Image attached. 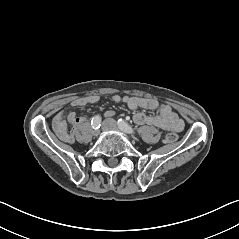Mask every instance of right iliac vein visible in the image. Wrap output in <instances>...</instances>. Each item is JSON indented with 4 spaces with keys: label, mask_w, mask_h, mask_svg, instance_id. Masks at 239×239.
Returning <instances> with one entry per match:
<instances>
[{
    "label": "right iliac vein",
    "mask_w": 239,
    "mask_h": 239,
    "mask_svg": "<svg viewBox=\"0 0 239 239\" xmlns=\"http://www.w3.org/2000/svg\"><path fill=\"white\" fill-rule=\"evenodd\" d=\"M101 129H102L103 132H105V131H107V130L110 129V126H109L108 123L103 122V124H102V128H101ZM95 134H98V132H96Z\"/></svg>",
    "instance_id": "obj_1"
}]
</instances>
